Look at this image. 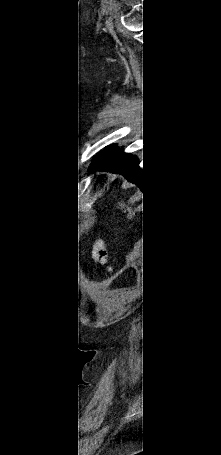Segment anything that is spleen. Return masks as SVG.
<instances>
[{"instance_id":"obj_1","label":"spleen","mask_w":221,"mask_h":455,"mask_svg":"<svg viewBox=\"0 0 221 455\" xmlns=\"http://www.w3.org/2000/svg\"><path fill=\"white\" fill-rule=\"evenodd\" d=\"M119 205L121 206V208H124V204L123 203H120ZM127 210L129 211L128 217L132 218V216L134 215V212H133L132 208H127Z\"/></svg>"}]
</instances>
